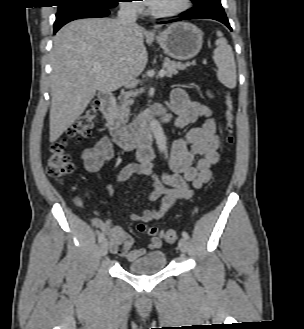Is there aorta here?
I'll return each mask as SVG.
<instances>
[{
	"label": "aorta",
	"instance_id": "762f6f07",
	"mask_svg": "<svg viewBox=\"0 0 304 329\" xmlns=\"http://www.w3.org/2000/svg\"><path fill=\"white\" fill-rule=\"evenodd\" d=\"M150 126L159 151L165 153L167 140L160 123L156 119H151Z\"/></svg>",
	"mask_w": 304,
	"mask_h": 329
}]
</instances>
